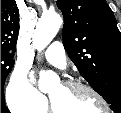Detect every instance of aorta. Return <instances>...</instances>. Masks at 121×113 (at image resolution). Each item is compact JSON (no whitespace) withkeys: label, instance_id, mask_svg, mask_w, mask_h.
Here are the masks:
<instances>
[{"label":"aorta","instance_id":"762f6f07","mask_svg":"<svg viewBox=\"0 0 121 113\" xmlns=\"http://www.w3.org/2000/svg\"><path fill=\"white\" fill-rule=\"evenodd\" d=\"M62 23L61 17L56 13H46L41 16L33 35V46L38 51H43L49 43L53 40L55 35L60 29ZM56 76L52 72L42 71L40 72L39 88L42 91L48 89L49 83H51Z\"/></svg>","mask_w":121,"mask_h":113}]
</instances>
